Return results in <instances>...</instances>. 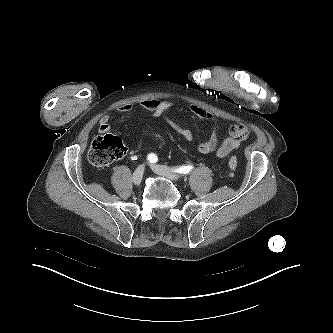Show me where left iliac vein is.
<instances>
[{
    "label": "left iliac vein",
    "instance_id": "4c4485c4",
    "mask_svg": "<svg viewBox=\"0 0 333 333\" xmlns=\"http://www.w3.org/2000/svg\"><path fill=\"white\" fill-rule=\"evenodd\" d=\"M151 168L156 174L172 181H179L182 178L180 175L174 173L170 168L163 165H151Z\"/></svg>",
    "mask_w": 333,
    "mask_h": 333
}]
</instances>
